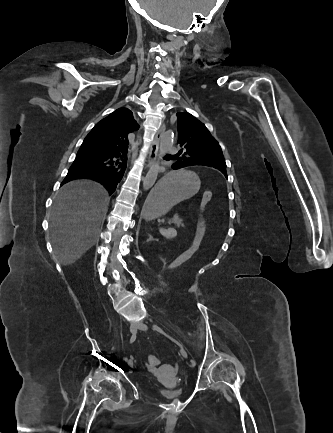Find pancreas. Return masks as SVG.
Wrapping results in <instances>:
<instances>
[{
    "label": "pancreas",
    "instance_id": "1",
    "mask_svg": "<svg viewBox=\"0 0 333 433\" xmlns=\"http://www.w3.org/2000/svg\"><path fill=\"white\" fill-rule=\"evenodd\" d=\"M176 222L178 223V225H177L178 227L183 226V222H182L181 219L178 218V215H174L173 218H171L169 220V223H174L175 224Z\"/></svg>",
    "mask_w": 333,
    "mask_h": 433
}]
</instances>
